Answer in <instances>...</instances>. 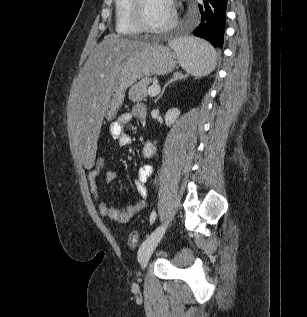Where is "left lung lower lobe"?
<instances>
[{
  "mask_svg": "<svg viewBox=\"0 0 307 317\" xmlns=\"http://www.w3.org/2000/svg\"><path fill=\"white\" fill-rule=\"evenodd\" d=\"M198 6L200 16L193 35L208 40L214 47H222L227 0H202Z\"/></svg>",
  "mask_w": 307,
  "mask_h": 317,
  "instance_id": "obj_1",
  "label": "left lung lower lobe"
}]
</instances>
